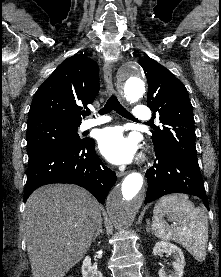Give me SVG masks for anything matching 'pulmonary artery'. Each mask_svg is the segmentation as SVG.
<instances>
[{"label":"pulmonary artery","mask_w":221,"mask_h":277,"mask_svg":"<svg viewBox=\"0 0 221 277\" xmlns=\"http://www.w3.org/2000/svg\"><path fill=\"white\" fill-rule=\"evenodd\" d=\"M133 116L140 121H147L151 118V111L147 106L138 105L133 110ZM110 120L109 117H99L97 119H90L82 124V129H90L102 125Z\"/></svg>","instance_id":"1"}]
</instances>
